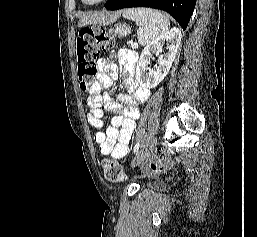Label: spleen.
<instances>
[{"label":"spleen","instance_id":"1","mask_svg":"<svg viewBox=\"0 0 257 237\" xmlns=\"http://www.w3.org/2000/svg\"><path fill=\"white\" fill-rule=\"evenodd\" d=\"M123 17L132 20L139 27L137 31L140 45H148L163 34L168 29L169 20L159 11L147 8L126 9Z\"/></svg>","mask_w":257,"mask_h":237}]
</instances>
